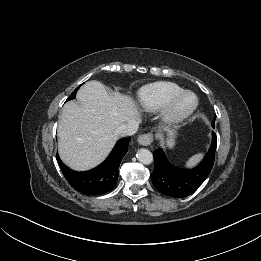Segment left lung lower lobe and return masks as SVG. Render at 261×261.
<instances>
[{"instance_id": "left-lung-lower-lobe-1", "label": "left lung lower lobe", "mask_w": 261, "mask_h": 261, "mask_svg": "<svg viewBox=\"0 0 261 261\" xmlns=\"http://www.w3.org/2000/svg\"><path fill=\"white\" fill-rule=\"evenodd\" d=\"M217 138L212 133L210 148L201 163L192 169L174 167L162 149L154 151V171L151 173L155 188L170 197L183 198L192 194L209 175L215 160Z\"/></svg>"}]
</instances>
